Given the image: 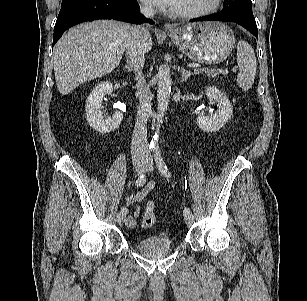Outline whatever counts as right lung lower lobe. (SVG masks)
<instances>
[{
  "label": "right lung lower lobe",
  "mask_w": 307,
  "mask_h": 301,
  "mask_svg": "<svg viewBox=\"0 0 307 301\" xmlns=\"http://www.w3.org/2000/svg\"><path fill=\"white\" fill-rule=\"evenodd\" d=\"M95 19H115L135 24L152 23V20L139 13L136 0H67L62 2L57 17L53 45L65 30Z\"/></svg>",
  "instance_id": "1"
}]
</instances>
